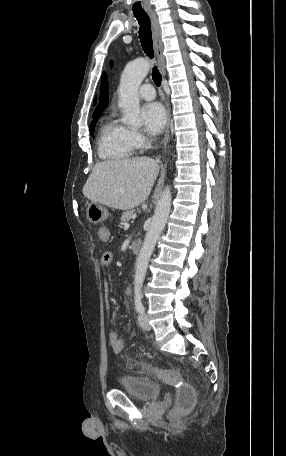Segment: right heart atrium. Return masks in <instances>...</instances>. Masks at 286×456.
Listing matches in <instances>:
<instances>
[{"instance_id": "obj_1", "label": "right heart atrium", "mask_w": 286, "mask_h": 456, "mask_svg": "<svg viewBox=\"0 0 286 456\" xmlns=\"http://www.w3.org/2000/svg\"><path fill=\"white\" fill-rule=\"evenodd\" d=\"M129 131L131 139L133 140L136 147H143L146 145L147 138L142 132L135 129H129Z\"/></svg>"}]
</instances>
